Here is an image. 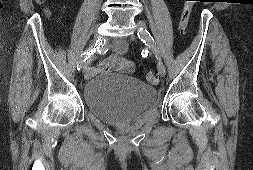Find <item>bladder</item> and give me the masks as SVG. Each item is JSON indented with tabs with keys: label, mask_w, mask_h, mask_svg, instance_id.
Returning <instances> with one entry per match:
<instances>
[{
	"label": "bladder",
	"mask_w": 253,
	"mask_h": 170,
	"mask_svg": "<svg viewBox=\"0 0 253 170\" xmlns=\"http://www.w3.org/2000/svg\"><path fill=\"white\" fill-rule=\"evenodd\" d=\"M86 107L101 121L123 125L154 106L156 89L135 77L104 72L90 78L82 88Z\"/></svg>",
	"instance_id": "1"
}]
</instances>
